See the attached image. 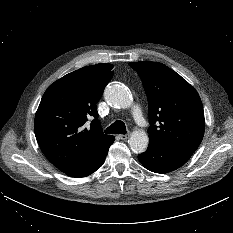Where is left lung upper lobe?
Instances as JSON below:
<instances>
[{"label":"left lung upper lobe","mask_w":233,"mask_h":233,"mask_svg":"<svg viewBox=\"0 0 233 233\" xmlns=\"http://www.w3.org/2000/svg\"><path fill=\"white\" fill-rule=\"evenodd\" d=\"M129 65L139 74L147 95L149 144L194 152L205 128L197 91L162 63L141 61Z\"/></svg>","instance_id":"obj_1"}]
</instances>
